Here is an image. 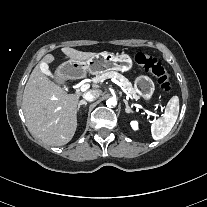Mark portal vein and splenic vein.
Segmentation results:
<instances>
[{"instance_id": "obj_1", "label": "portal vein and splenic vein", "mask_w": 207, "mask_h": 207, "mask_svg": "<svg viewBox=\"0 0 207 207\" xmlns=\"http://www.w3.org/2000/svg\"><path fill=\"white\" fill-rule=\"evenodd\" d=\"M85 70V68H84ZM42 71L44 74L46 75H50L49 71L47 70V66H43L42 67ZM106 78V75H102V76H96L95 78L93 79H84L82 80L79 84L75 85L74 88H78L77 90L81 91V92H86L90 85L88 84V82H94V83H98L100 81H104V79ZM63 84V83H61ZM63 88L68 91V87L66 85H63ZM92 95L88 92H86L84 95H83V98L87 99V98H90ZM157 121L154 120L153 123H156Z\"/></svg>"}]
</instances>
